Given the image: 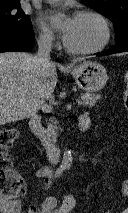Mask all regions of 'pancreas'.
Listing matches in <instances>:
<instances>
[{"label":"pancreas","instance_id":"1","mask_svg":"<svg viewBox=\"0 0 128 213\" xmlns=\"http://www.w3.org/2000/svg\"><path fill=\"white\" fill-rule=\"evenodd\" d=\"M101 98L100 95L98 94H90V93H85L81 95V100L80 103L83 106H89L92 107L96 104L97 100ZM50 121L52 124H48V130L53 134V136H56V130L57 126H55L56 121H54V118H50Z\"/></svg>","mask_w":128,"mask_h":213}]
</instances>
